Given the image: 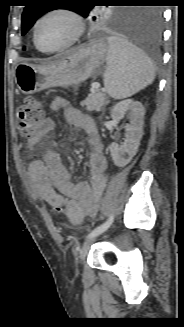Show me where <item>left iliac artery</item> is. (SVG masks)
Listing matches in <instances>:
<instances>
[{"label": "left iliac artery", "instance_id": "44dca946", "mask_svg": "<svg viewBox=\"0 0 184 327\" xmlns=\"http://www.w3.org/2000/svg\"><path fill=\"white\" fill-rule=\"evenodd\" d=\"M113 220H114V216L111 215L106 222H104L103 224H101L100 226H98L94 230H92L89 233L88 238L93 237L95 235H99L102 232H104L105 230H107L110 227V225L113 223Z\"/></svg>", "mask_w": 184, "mask_h": 327}]
</instances>
